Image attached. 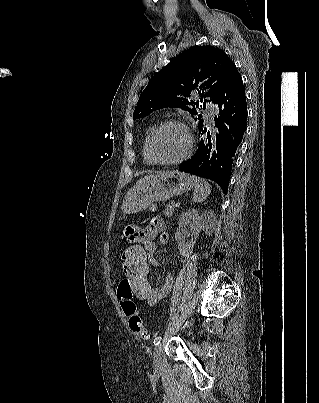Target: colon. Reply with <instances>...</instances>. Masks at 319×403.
<instances>
[{"label": "colon", "instance_id": "colon-1", "mask_svg": "<svg viewBox=\"0 0 319 403\" xmlns=\"http://www.w3.org/2000/svg\"><path fill=\"white\" fill-rule=\"evenodd\" d=\"M121 275L117 279L118 303L122 315L129 324L130 336L147 338V331L135 300H148L153 293L149 259L145 256L144 242H127L120 250ZM130 287L135 288V300L130 295Z\"/></svg>", "mask_w": 319, "mask_h": 403}]
</instances>
